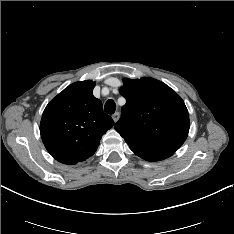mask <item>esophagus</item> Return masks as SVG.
Returning a JSON list of instances; mask_svg holds the SVG:
<instances>
[{"instance_id":"34e87169","label":"esophagus","mask_w":234,"mask_h":234,"mask_svg":"<svg viewBox=\"0 0 234 234\" xmlns=\"http://www.w3.org/2000/svg\"><path fill=\"white\" fill-rule=\"evenodd\" d=\"M112 119H113L114 123H116L118 121V119H119V113L118 112L114 113L112 115Z\"/></svg>"}]
</instances>
